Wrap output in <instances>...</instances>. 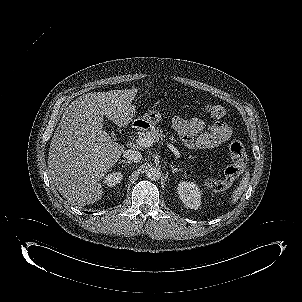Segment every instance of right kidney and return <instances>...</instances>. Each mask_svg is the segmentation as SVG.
Segmentation results:
<instances>
[{
  "instance_id": "1",
  "label": "right kidney",
  "mask_w": 302,
  "mask_h": 302,
  "mask_svg": "<svg viewBox=\"0 0 302 302\" xmlns=\"http://www.w3.org/2000/svg\"><path fill=\"white\" fill-rule=\"evenodd\" d=\"M123 175L121 172H113L111 174H109L108 176H106L104 183L108 186V187H113L115 185H117L118 183H120V181L122 180Z\"/></svg>"
}]
</instances>
